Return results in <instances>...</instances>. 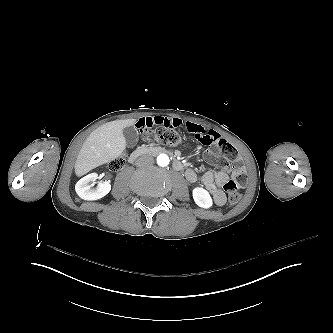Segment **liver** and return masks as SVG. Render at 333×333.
Here are the masks:
<instances>
[{
  "mask_svg": "<svg viewBox=\"0 0 333 333\" xmlns=\"http://www.w3.org/2000/svg\"><path fill=\"white\" fill-rule=\"evenodd\" d=\"M136 119L107 122L90 133L75 162V174L83 176L90 170L115 160L126 148L123 129L133 126Z\"/></svg>",
  "mask_w": 333,
  "mask_h": 333,
  "instance_id": "6515ba94",
  "label": "liver"
}]
</instances>
